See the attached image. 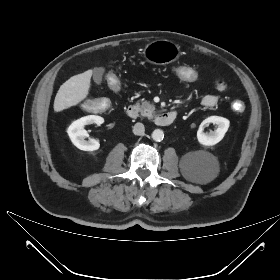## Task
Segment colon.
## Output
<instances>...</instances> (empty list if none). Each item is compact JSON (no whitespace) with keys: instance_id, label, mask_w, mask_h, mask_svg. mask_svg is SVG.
<instances>
[{"instance_id":"5ec220e1","label":"colon","mask_w":280,"mask_h":280,"mask_svg":"<svg viewBox=\"0 0 280 280\" xmlns=\"http://www.w3.org/2000/svg\"><path fill=\"white\" fill-rule=\"evenodd\" d=\"M173 74L176 78L188 83H195L200 78V73L197 69L187 67L184 64L176 65L173 69ZM105 82L113 91L119 90V80L116 74H107L105 77ZM107 105L108 103L103 99L90 100L85 104L87 109L94 112L103 111ZM232 109L237 113H242L245 110V105L241 101H235L232 104Z\"/></svg>"}]
</instances>
